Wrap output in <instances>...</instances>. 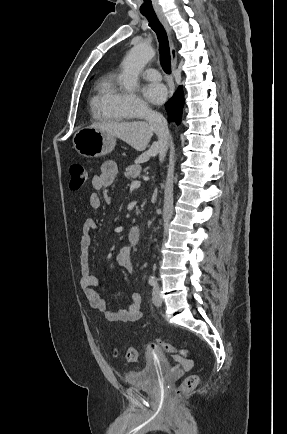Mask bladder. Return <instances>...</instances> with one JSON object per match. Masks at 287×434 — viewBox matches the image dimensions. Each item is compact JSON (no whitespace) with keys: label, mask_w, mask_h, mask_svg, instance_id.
<instances>
[{"label":"bladder","mask_w":287,"mask_h":434,"mask_svg":"<svg viewBox=\"0 0 287 434\" xmlns=\"http://www.w3.org/2000/svg\"><path fill=\"white\" fill-rule=\"evenodd\" d=\"M170 371V362L164 354L149 352L141 366L126 373L124 381L127 385L136 388L152 387Z\"/></svg>","instance_id":"bladder-1"}]
</instances>
